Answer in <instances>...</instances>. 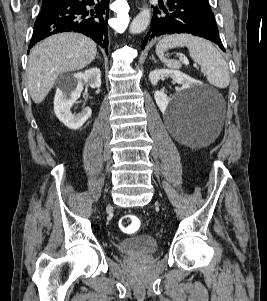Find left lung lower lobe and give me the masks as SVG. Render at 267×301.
I'll return each mask as SVG.
<instances>
[{"mask_svg": "<svg viewBox=\"0 0 267 301\" xmlns=\"http://www.w3.org/2000/svg\"><path fill=\"white\" fill-rule=\"evenodd\" d=\"M167 5V9L159 5L165 13H161L157 7L154 8L151 27L145 40L141 42V49L154 37L186 33L211 40L225 51L213 14L191 0H167Z\"/></svg>", "mask_w": 267, "mask_h": 301, "instance_id": "left-lung-lower-lobe-1", "label": "left lung lower lobe"}]
</instances>
